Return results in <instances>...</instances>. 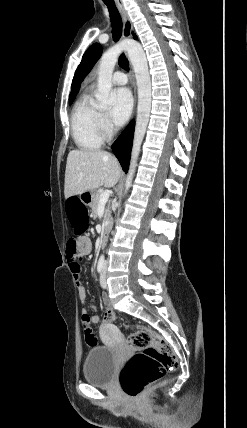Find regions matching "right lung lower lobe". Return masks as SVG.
<instances>
[{"label": "right lung lower lobe", "mask_w": 247, "mask_h": 428, "mask_svg": "<svg viewBox=\"0 0 247 428\" xmlns=\"http://www.w3.org/2000/svg\"><path fill=\"white\" fill-rule=\"evenodd\" d=\"M134 123L131 122L113 144V152L118 158L123 170L127 173L132 148Z\"/></svg>", "instance_id": "right-lung-lower-lobe-1"}]
</instances>
